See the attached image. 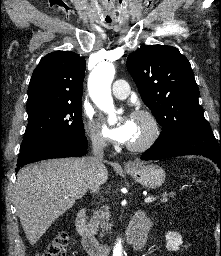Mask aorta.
<instances>
[{
  "label": "aorta",
  "instance_id": "obj_1",
  "mask_svg": "<svg viewBox=\"0 0 221 256\" xmlns=\"http://www.w3.org/2000/svg\"><path fill=\"white\" fill-rule=\"evenodd\" d=\"M115 76V67L112 63L102 62L90 73L88 90L93 102L102 111L114 117L115 107L111 96V83ZM113 256H122L121 241L115 244Z\"/></svg>",
  "mask_w": 221,
  "mask_h": 256
}]
</instances>
